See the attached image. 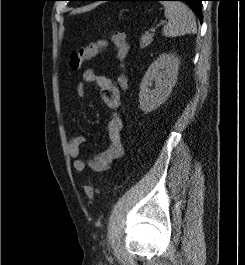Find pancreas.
<instances>
[{"label":"pancreas","mask_w":245,"mask_h":265,"mask_svg":"<svg viewBox=\"0 0 245 265\" xmlns=\"http://www.w3.org/2000/svg\"><path fill=\"white\" fill-rule=\"evenodd\" d=\"M153 41V34H145L142 35L141 39H140V48L144 49L145 47H147L148 45H150V43Z\"/></svg>","instance_id":"pancreas-1"}]
</instances>
